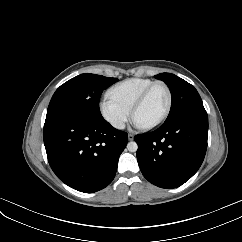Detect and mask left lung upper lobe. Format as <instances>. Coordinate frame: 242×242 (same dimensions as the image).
<instances>
[{"mask_svg": "<svg viewBox=\"0 0 242 242\" xmlns=\"http://www.w3.org/2000/svg\"><path fill=\"white\" fill-rule=\"evenodd\" d=\"M155 78L164 81L172 95L171 109L166 121L191 110L204 109L197 90L185 80L171 73H161L155 75Z\"/></svg>", "mask_w": 242, "mask_h": 242, "instance_id": "1", "label": "left lung upper lobe"}]
</instances>
